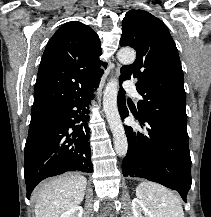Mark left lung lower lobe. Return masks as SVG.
Masks as SVG:
<instances>
[{
	"mask_svg": "<svg viewBox=\"0 0 211 217\" xmlns=\"http://www.w3.org/2000/svg\"><path fill=\"white\" fill-rule=\"evenodd\" d=\"M124 92L120 87L118 109L122 119L129 116ZM139 121L146 134H136L131 127H125L128 151L122 162L123 175L145 178L177 190L186 202L191 187L187 129L164 119L140 116Z\"/></svg>",
	"mask_w": 211,
	"mask_h": 217,
	"instance_id": "1",
	"label": "left lung lower lobe"
}]
</instances>
